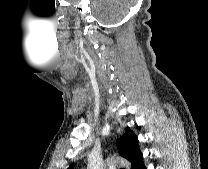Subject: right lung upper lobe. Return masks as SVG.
Masks as SVG:
<instances>
[{"instance_id":"cb5924a9","label":"right lung upper lobe","mask_w":208,"mask_h":169,"mask_svg":"<svg viewBox=\"0 0 208 169\" xmlns=\"http://www.w3.org/2000/svg\"><path fill=\"white\" fill-rule=\"evenodd\" d=\"M117 147L120 155L131 163L132 169L143 159V154L138 146V138L129 127L126 128L123 136L118 139ZM73 167L74 164L68 169H73Z\"/></svg>"}]
</instances>
